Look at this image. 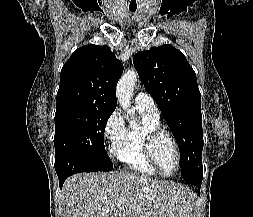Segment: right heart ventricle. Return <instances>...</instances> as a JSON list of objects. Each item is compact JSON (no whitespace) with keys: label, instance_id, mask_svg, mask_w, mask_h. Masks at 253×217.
Returning a JSON list of instances; mask_svg holds the SVG:
<instances>
[{"label":"right heart ventricle","instance_id":"obj_1","mask_svg":"<svg viewBox=\"0 0 253 217\" xmlns=\"http://www.w3.org/2000/svg\"><path fill=\"white\" fill-rule=\"evenodd\" d=\"M141 117L139 126H130L125 129L123 137L114 148L117 160L125 164L134 172L154 176L158 172L149 163L144 152V138L148 131L160 128L159 117L153 116L147 111L138 109Z\"/></svg>","mask_w":253,"mask_h":217}]
</instances>
